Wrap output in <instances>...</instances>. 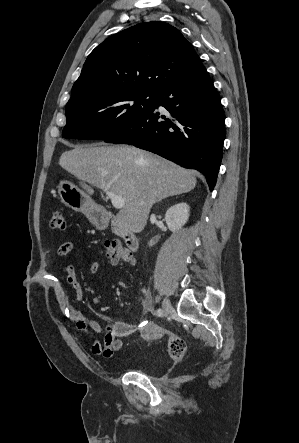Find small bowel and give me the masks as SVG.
Masks as SVG:
<instances>
[{
    "instance_id": "small-bowel-1",
    "label": "small bowel",
    "mask_w": 299,
    "mask_h": 443,
    "mask_svg": "<svg viewBox=\"0 0 299 443\" xmlns=\"http://www.w3.org/2000/svg\"><path fill=\"white\" fill-rule=\"evenodd\" d=\"M74 248L72 242H65L61 244L56 254L59 257L66 256ZM100 264L97 260L89 262V271L93 274L99 271ZM58 274L60 281L54 286L56 300L61 309L68 312L73 321L79 337L87 344H89L91 352L98 356H103L107 359H113L115 355L122 350V337H127L135 333L132 324L124 321H109L105 325H100L98 322L89 319L83 312L78 310L73 302H79L83 298V290L77 279L75 268L72 265L60 264L58 266ZM69 285L74 294L72 299L67 294L65 285ZM151 311V300L146 299L143 306V314ZM91 333L103 334L104 340H92Z\"/></svg>"
}]
</instances>
